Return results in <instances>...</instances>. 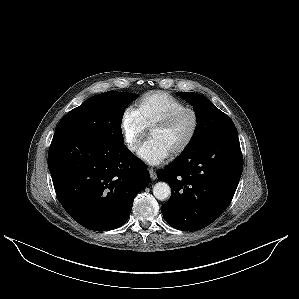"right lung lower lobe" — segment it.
<instances>
[{
	"instance_id": "right-lung-lower-lobe-1",
	"label": "right lung lower lobe",
	"mask_w": 299,
	"mask_h": 299,
	"mask_svg": "<svg viewBox=\"0 0 299 299\" xmlns=\"http://www.w3.org/2000/svg\"><path fill=\"white\" fill-rule=\"evenodd\" d=\"M48 167L65 211L94 231L122 226L150 180L146 165L124 144L68 133L54 134Z\"/></svg>"
}]
</instances>
